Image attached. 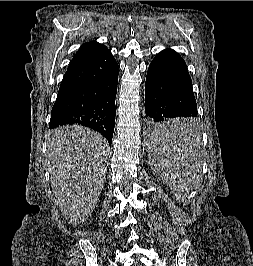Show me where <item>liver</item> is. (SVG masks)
<instances>
[{
	"mask_svg": "<svg viewBox=\"0 0 253 266\" xmlns=\"http://www.w3.org/2000/svg\"><path fill=\"white\" fill-rule=\"evenodd\" d=\"M109 146L98 132L79 125L49 133L47 159L51 187L70 224L84 222L99 200Z\"/></svg>",
	"mask_w": 253,
	"mask_h": 266,
	"instance_id": "liver-1",
	"label": "liver"
}]
</instances>
